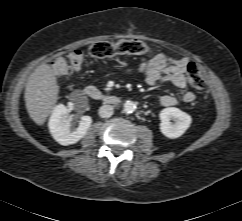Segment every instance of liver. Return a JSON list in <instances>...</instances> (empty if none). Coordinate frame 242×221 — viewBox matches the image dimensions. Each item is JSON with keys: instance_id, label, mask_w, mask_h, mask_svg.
Here are the masks:
<instances>
[{"instance_id": "6515ba94", "label": "liver", "mask_w": 242, "mask_h": 221, "mask_svg": "<svg viewBox=\"0 0 242 221\" xmlns=\"http://www.w3.org/2000/svg\"><path fill=\"white\" fill-rule=\"evenodd\" d=\"M59 86L54 70L48 64L39 65L30 75L25 88V103L31 119L43 125L58 100Z\"/></svg>"}]
</instances>
